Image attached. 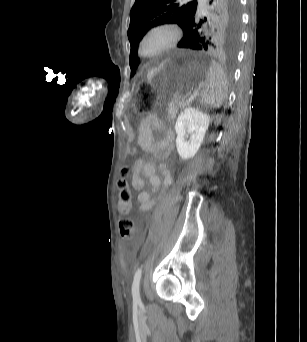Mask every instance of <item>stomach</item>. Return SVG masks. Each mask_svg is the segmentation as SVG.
Returning a JSON list of instances; mask_svg holds the SVG:
<instances>
[{"mask_svg":"<svg viewBox=\"0 0 307 342\" xmlns=\"http://www.w3.org/2000/svg\"><path fill=\"white\" fill-rule=\"evenodd\" d=\"M162 74H163L162 70L156 72L152 77H150V82H154L155 81V77L156 76H161Z\"/></svg>","mask_w":307,"mask_h":342,"instance_id":"0dacf381","label":"stomach"}]
</instances>
